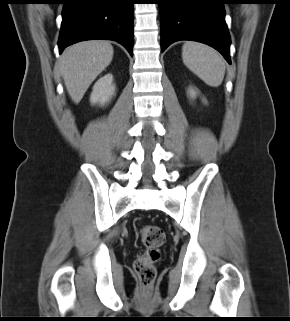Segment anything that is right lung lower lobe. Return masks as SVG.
<instances>
[{
    "label": "right lung lower lobe",
    "mask_w": 290,
    "mask_h": 321,
    "mask_svg": "<svg viewBox=\"0 0 290 321\" xmlns=\"http://www.w3.org/2000/svg\"><path fill=\"white\" fill-rule=\"evenodd\" d=\"M59 52L79 41L114 40L133 56V0H64Z\"/></svg>",
    "instance_id": "right-lung-lower-lobe-1"
}]
</instances>
